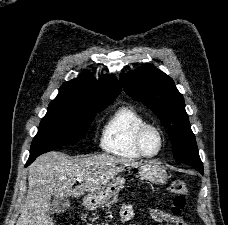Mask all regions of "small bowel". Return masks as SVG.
<instances>
[{"label":"small bowel","instance_id":"1","mask_svg":"<svg viewBox=\"0 0 228 225\" xmlns=\"http://www.w3.org/2000/svg\"><path fill=\"white\" fill-rule=\"evenodd\" d=\"M134 215L135 211L130 204H125L122 207L121 216L124 220H131L134 217ZM150 216L153 220L164 225H180V222L182 221L180 218H176L168 212L157 208L150 210Z\"/></svg>","mask_w":228,"mask_h":225}]
</instances>
